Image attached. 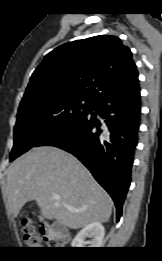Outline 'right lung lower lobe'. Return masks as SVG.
I'll return each mask as SVG.
<instances>
[{
    "label": "right lung lower lobe",
    "instance_id": "right-lung-lower-lobe-1",
    "mask_svg": "<svg viewBox=\"0 0 162 261\" xmlns=\"http://www.w3.org/2000/svg\"><path fill=\"white\" fill-rule=\"evenodd\" d=\"M86 116L42 138L34 147L55 146L76 156L110 194L119 221L131 183L140 120L139 86L105 95Z\"/></svg>",
    "mask_w": 162,
    "mask_h": 261
}]
</instances>
